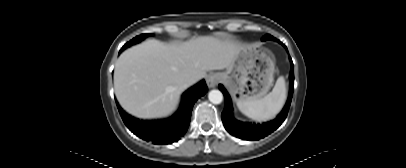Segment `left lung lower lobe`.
I'll list each match as a JSON object with an SVG mask.
<instances>
[{"mask_svg": "<svg viewBox=\"0 0 406 168\" xmlns=\"http://www.w3.org/2000/svg\"><path fill=\"white\" fill-rule=\"evenodd\" d=\"M290 61H291V72H290V90L288 100L281 113L277 116V118L270 122L255 125L252 123H246L236 120L232 114L233 109L229 94L222 85L218 86V88L223 92L225 98V107L221 114V119L223 121L225 129L231 135L244 140H259L272 133L282 124V122L285 120L288 114L294 91V65L291 58Z\"/></svg>", "mask_w": 406, "mask_h": 168, "instance_id": "left-lung-lower-lobe-1", "label": "left lung lower lobe"}]
</instances>
